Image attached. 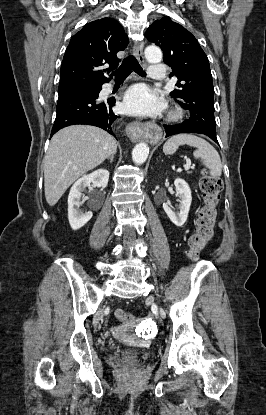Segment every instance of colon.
I'll use <instances>...</instances> for the list:
<instances>
[{
	"mask_svg": "<svg viewBox=\"0 0 266 415\" xmlns=\"http://www.w3.org/2000/svg\"><path fill=\"white\" fill-rule=\"evenodd\" d=\"M223 185L222 181L208 173H204L200 179L203 205L198 211L196 228L188 239L187 255L189 259L196 261L207 243L214 237V228L217 219V207ZM116 317L128 324H132L135 318L130 313L118 309Z\"/></svg>",
	"mask_w": 266,
	"mask_h": 415,
	"instance_id": "colon-1",
	"label": "colon"
}]
</instances>
